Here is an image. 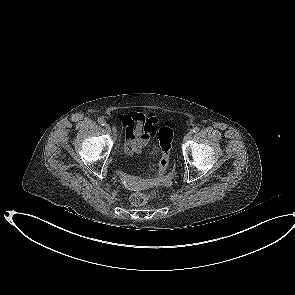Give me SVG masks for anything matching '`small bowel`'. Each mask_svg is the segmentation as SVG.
Wrapping results in <instances>:
<instances>
[{"mask_svg": "<svg viewBox=\"0 0 295 295\" xmlns=\"http://www.w3.org/2000/svg\"><path fill=\"white\" fill-rule=\"evenodd\" d=\"M120 121L126 126V139L123 144V151L128 156L140 154L151 144L154 136V125L156 118L145 116L143 113L135 112L120 117ZM118 180L129 188L135 190H150L154 187L152 180L144 181L130 177L126 173H120Z\"/></svg>", "mask_w": 295, "mask_h": 295, "instance_id": "obj_1", "label": "small bowel"}]
</instances>
